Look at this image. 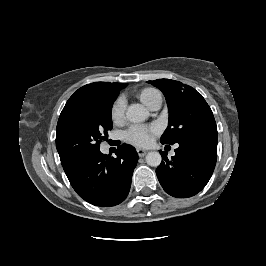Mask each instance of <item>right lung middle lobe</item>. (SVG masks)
I'll return each instance as SVG.
<instances>
[{
    "label": "right lung middle lobe",
    "mask_w": 266,
    "mask_h": 266,
    "mask_svg": "<svg viewBox=\"0 0 266 266\" xmlns=\"http://www.w3.org/2000/svg\"><path fill=\"white\" fill-rule=\"evenodd\" d=\"M119 93L99 95L57 124L56 148L61 159L81 161L100 148L112 129L111 109Z\"/></svg>",
    "instance_id": "right-lung-middle-lobe-1"
}]
</instances>
